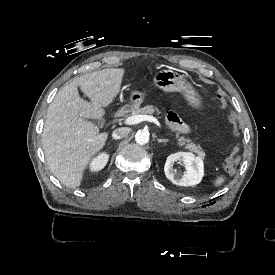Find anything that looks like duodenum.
I'll return each mask as SVG.
<instances>
[{"label": "duodenum", "mask_w": 275, "mask_h": 275, "mask_svg": "<svg viewBox=\"0 0 275 275\" xmlns=\"http://www.w3.org/2000/svg\"><path fill=\"white\" fill-rule=\"evenodd\" d=\"M128 110H129V107H123V108L118 109L115 113V117L121 118L128 112Z\"/></svg>", "instance_id": "1"}]
</instances>
